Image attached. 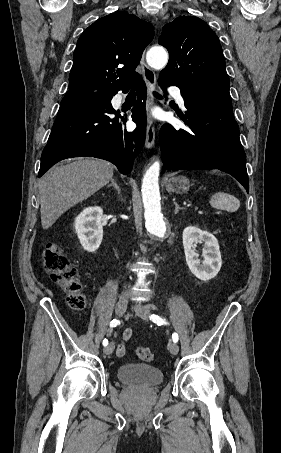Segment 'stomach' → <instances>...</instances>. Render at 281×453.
I'll use <instances>...</instances> for the list:
<instances>
[{"instance_id":"1","label":"stomach","mask_w":281,"mask_h":453,"mask_svg":"<svg viewBox=\"0 0 281 453\" xmlns=\"http://www.w3.org/2000/svg\"><path fill=\"white\" fill-rule=\"evenodd\" d=\"M190 182L185 176H173V178H168L166 182V188L168 192H178V194H183L189 190Z\"/></svg>"}]
</instances>
